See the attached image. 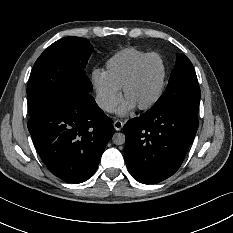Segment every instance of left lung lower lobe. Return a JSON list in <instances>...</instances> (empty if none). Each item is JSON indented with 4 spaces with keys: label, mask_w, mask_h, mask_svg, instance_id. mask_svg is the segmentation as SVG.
Here are the masks:
<instances>
[{
    "label": "left lung lower lobe",
    "mask_w": 233,
    "mask_h": 233,
    "mask_svg": "<svg viewBox=\"0 0 233 233\" xmlns=\"http://www.w3.org/2000/svg\"><path fill=\"white\" fill-rule=\"evenodd\" d=\"M198 129V110H148L124 125V156L131 175L141 183L155 184L181 166Z\"/></svg>",
    "instance_id": "obj_1"
}]
</instances>
